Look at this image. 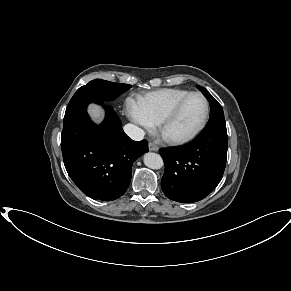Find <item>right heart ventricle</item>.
<instances>
[{
	"label": "right heart ventricle",
	"mask_w": 291,
	"mask_h": 291,
	"mask_svg": "<svg viewBox=\"0 0 291 291\" xmlns=\"http://www.w3.org/2000/svg\"><path fill=\"white\" fill-rule=\"evenodd\" d=\"M190 91L179 88L160 89L139 98L138 103L145 115L158 124L165 115Z\"/></svg>",
	"instance_id": "obj_1"
}]
</instances>
